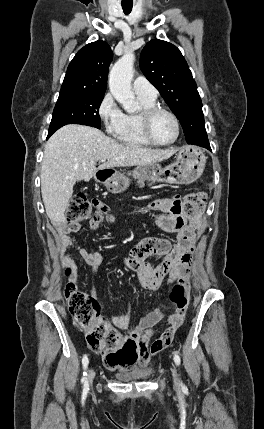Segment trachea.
Instances as JSON below:
<instances>
[{"label": "trachea", "instance_id": "3493384b", "mask_svg": "<svg viewBox=\"0 0 264 429\" xmlns=\"http://www.w3.org/2000/svg\"><path fill=\"white\" fill-rule=\"evenodd\" d=\"M132 7H133V4H125V3H123V4H122L123 12H124L126 15H128V14L131 12Z\"/></svg>", "mask_w": 264, "mask_h": 429}]
</instances>
